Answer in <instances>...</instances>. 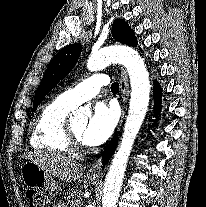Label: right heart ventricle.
<instances>
[{
    "instance_id": "obj_1",
    "label": "right heart ventricle",
    "mask_w": 206,
    "mask_h": 207,
    "mask_svg": "<svg viewBox=\"0 0 206 207\" xmlns=\"http://www.w3.org/2000/svg\"><path fill=\"white\" fill-rule=\"evenodd\" d=\"M75 109L62 95L48 102L37 115L31 133L30 144L34 149L55 153L71 151L65 139L68 114Z\"/></svg>"
}]
</instances>
